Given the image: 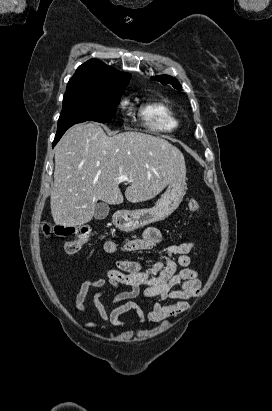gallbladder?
<instances>
[{
    "instance_id": "bac80fb5",
    "label": "gallbladder",
    "mask_w": 272,
    "mask_h": 411,
    "mask_svg": "<svg viewBox=\"0 0 272 411\" xmlns=\"http://www.w3.org/2000/svg\"><path fill=\"white\" fill-rule=\"evenodd\" d=\"M109 206L105 202H100L96 204L94 217L97 220H103L108 216L109 213Z\"/></svg>"
}]
</instances>
